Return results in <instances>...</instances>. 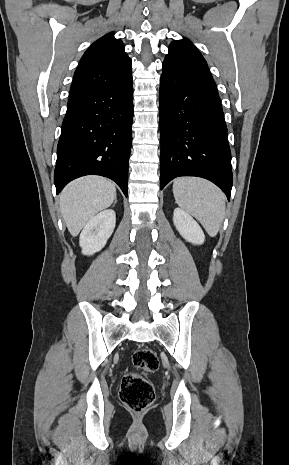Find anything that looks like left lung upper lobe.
Wrapping results in <instances>:
<instances>
[{"label":"left lung upper lobe","instance_id":"1","mask_svg":"<svg viewBox=\"0 0 289 465\" xmlns=\"http://www.w3.org/2000/svg\"><path fill=\"white\" fill-rule=\"evenodd\" d=\"M163 71L212 78L205 59L186 38L171 42L169 52L163 62Z\"/></svg>","mask_w":289,"mask_h":465}]
</instances>
